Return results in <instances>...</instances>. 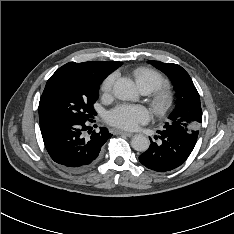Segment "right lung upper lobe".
<instances>
[{"label": "right lung upper lobe", "instance_id": "1", "mask_svg": "<svg viewBox=\"0 0 234 234\" xmlns=\"http://www.w3.org/2000/svg\"><path fill=\"white\" fill-rule=\"evenodd\" d=\"M122 62H103V61H91L83 63L69 62L63 65L62 69H68L82 76L103 80L111 72L116 70Z\"/></svg>", "mask_w": 234, "mask_h": 234}]
</instances>
